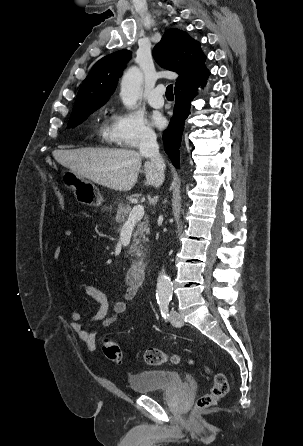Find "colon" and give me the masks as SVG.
<instances>
[{
    "label": "colon",
    "mask_w": 303,
    "mask_h": 446,
    "mask_svg": "<svg viewBox=\"0 0 303 446\" xmlns=\"http://www.w3.org/2000/svg\"><path fill=\"white\" fill-rule=\"evenodd\" d=\"M55 194L58 198L59 204L62 208L66 206V199L63 193L55 189ZM102 350L104 355L112 362L116 364H121L123 355L118 342L110 337H107L102 342ZM141 359L151 366H158L164 363L170 362L173 364H178L181 361L179 355L174 353H167L158 348H148L142 355ZM192 365H199L203 370L211 377L213 385L210 391L202 395L197 403V409H204L215 405L217 402L222 400L228 393V381L226 376L222 372L214 371L209 366L204 363H199L193 359L189 360Z\"/></svg>",
    "instance_id": "1"
}]
</instances>
